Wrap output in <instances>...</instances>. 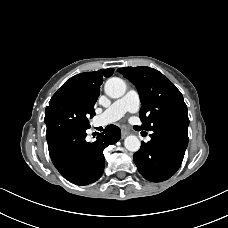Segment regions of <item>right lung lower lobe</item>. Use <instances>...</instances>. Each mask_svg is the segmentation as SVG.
Here are the masks:
<instances>
[{
  "label": "right lung lower lobe",
  "instance_id": "1",
  "mask_svg": "<svg viewBox=\"0 0 228 228\" xmlns=\"http://www.w3.org/2000/svg\"><path fill=\"white\" fill-rule=\"evenodd\" d=\"M87 129H71L48 138L51 160L60 174L76 185L97 181L104 171L103 150L121 138V131L109 125L93 143L86 142Z\"/></svg>",
  "mask_w": 228,
  "mask_h": 228
}]
</instances>
